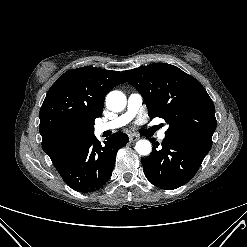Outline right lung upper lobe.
Listing matches in <instances>:
<instances>
[{
    "instance_id": "obj_1",
    "label": "right lung upper lobe",
    "mask_w": 247,
    "mask_h": 247,
    "mask_svg": "<svg viewBox=\"0 0 247 247\" xmlns=\"http://www.w3.org/2000/svg\"><path fill=\"white\" fill-rule=\"evenodd\" d=\"M125 82L119 71L91 66L69 70L56 80L39 114L42 148L51 160L78 139L93 134L106 94Z\"/></svg>"
}]
</instances>
